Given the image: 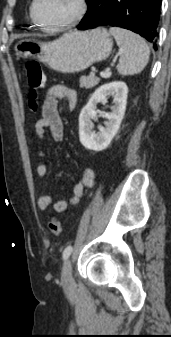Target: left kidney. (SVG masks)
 <instances>
[{"instance_id":"1","label":"left kidney","mask_w":171,"mask_h":337,"mask_svg":"<svg viewBox=\"0 0 171 337\" xmlns=\"http://www.w3.org/2000/svg\"><path fill=\"white\" fill-rule=\"evenodd\" d=\"M127 94L128 87L121 81L108 83L96 89L79 115V138L85 148L93 151H102L109 146L111 140L117 134L124 117ZM109 96L114 98V105L111 107L110 113L102 115L107 119L105 127H98L99 132L95 133L91 120L97 119L96 105L99 102L106 101Z\"/></svg>"}]
</instances>
